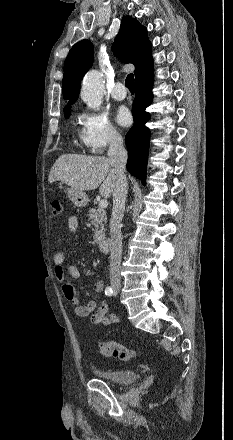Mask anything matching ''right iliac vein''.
Masks as SVG:
<instances>
[{"label": "right iliac vein", "mask_w": 233, "mask_h": 440, "mask_svg": "<svg viewBox=\"0 0 233 440\" xmlns=\"http://www.w3.org/2000/svg\"><path fill=\"white\" fill-rule=\"evenodd\" d=\"M113 289H114V291H115V292H119V290H120V287H119V286H117V285H114V286H113Z\"/></svg>", "instance_id": "1"}]
</instances>
